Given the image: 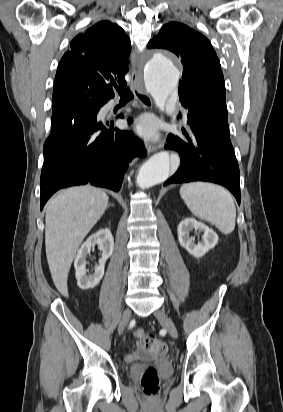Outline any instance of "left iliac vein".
<instances>
[{
  "label": "left iliac vein",
  "mask_w": 283,
  "mask_h": 412,
  "mask_svg": "<svg viewBox=\"0 0 283 412\" xmlns=\"http://www.w3.org/2000/svg\"><path fill=\"white\" fill-rule=\"evenodd\" d=\"M155 318L166 328L173 338H178V331L174 322L168 317L163 310H157L154 313Z\"/></svg>",
  "instance_id": "1"
}]
</instances>
